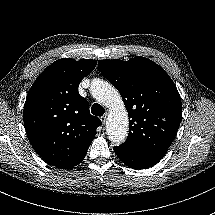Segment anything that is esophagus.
I'll return each mask as SVG.
<instances>
[{
    "label": "esophagus",
    "instance_id": "esophagus-1",
    "mask_svg": "<svg viewBox=\"0 0 215 215\" xmlns=\"http://www.w3.org/2000/svg\"><path fill=\"white\" fill-rule=\"evenodd\" d=\"M107 116H108V114L105 113V114L101 117L102 124H104V125H105V123H106Z\"/></svg>",
    "mask_w": 215,
    "mask_h": 215
}]
</instances>
